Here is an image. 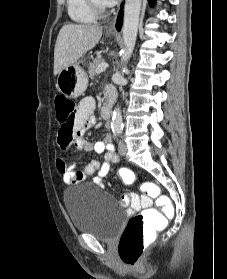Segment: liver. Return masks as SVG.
Segmentation results:
<instances>
[{"instance_id": "6515ba94", "label": "liver", "mask_w": 227, "mask_h": 279, "mask_svg": "<svg viewBox=\"0 0 227 279\" xmlns=\"http://www.w3.org/2000/svg\"><path fill=\"white\" fill-rule=\"evenodd\" d=\"M103 28L90 24H66L58 34L54 49V75L74 64L84 53L94 48Z\"/></svg>"}]
</instances>
